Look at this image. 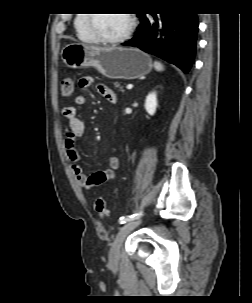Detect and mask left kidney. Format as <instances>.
I'll return each mask as SVG.
<instances>
[{
	"instance_id": "1",
	"label": "left kidney",
	"mask_w": 252,
	"mask_h": 303,
	"mask_svg": "<svg viewBox=\"0 0 252 303\" xmlns=\"http://www.w3.org/2000/svg\"><path fill=\"white\" fill-rule=\"evenodd\" d=\"M157 108L156 92L149 93L145 99V110L149 115H154Z\"/></svg>"
}]
</instances>
